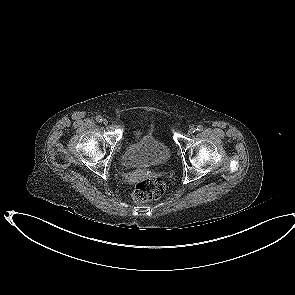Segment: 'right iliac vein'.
Wrapping results in <instances>:
<instances>
[{
  "label": "right iliac vein",
  "mask_w": 295,
  "mask_h": 295,
  "mask_svg": "<svg viewBox=\"0 0 295 295\" xmlns=\"http://www.w3.org/2000/svg\"><path fill=\"white\" fill-rule=\"evenodd\" d=\"M103 124L107 125L108 124V120L107 119H103Z\"/></svg>",
  "instance_id": "obj_1"
}]
</instances>
